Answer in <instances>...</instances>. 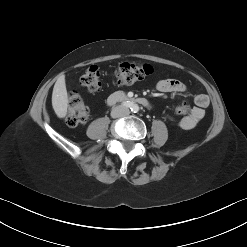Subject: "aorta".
I'll list each match as a JSON object with an SVG mask.
<instances>
[{
	"mask_svg": "<svg viewBox=\"0 0 247 247\" xmlns=\"http://www.w3.org/2000/svg\"><path fill=\"white\" fill-rule=\"evenodd\" d=\"M132 109L134 110V111H138V106L135 104L133 107H132Z\"/></svg>",
	"mask_w": 247,
	"mask_h": 247,
	"instance_id": "1",
	"label": "aorta"
}]
</instances>
